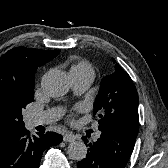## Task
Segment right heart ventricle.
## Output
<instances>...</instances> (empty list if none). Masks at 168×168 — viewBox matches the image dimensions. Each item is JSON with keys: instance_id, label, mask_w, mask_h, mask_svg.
Returning <instances> with one entry per match:
<instances>
[{"instance_id": "1", "label": "right heart ventricle", "mask_w": 168, "mask_h": 168, "mask_svg": "<svg viewBox=\"0 0 168 168\" xmlns=\"http://www.w3.org/2000/svg\"><path fill=\"white\" fill-rule=\"evenodd\" d=\"M69 74L71 77L78 75H95L93 66L86 60L78 59L69 63Z\"/></svg>"}]
</instances>
